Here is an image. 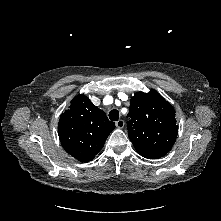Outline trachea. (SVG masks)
<instances>
[{
	"label": "trachea",
	"instance_id": "obj_1",
	"mask_svg": "<svg viewBox=\"0 0 221 221\" xmlns=\"http://www.w3.org/2000/svg\"><path fill=\"white\" fill-rule=\"evenodd\" d=\"M109 119L111 121H117L119 119V111L116 109H113L109 112Z\"/></svg>",
	"mask_w": 221,
	"mask_h": 221
}]
</instances>
